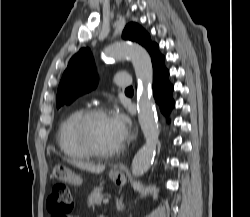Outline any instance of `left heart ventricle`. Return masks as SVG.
Returning <instances> with one entry per match:
<instances>
[{
	"mask_svg": "<svg viewBox=\"0 0 250 217\" xmlns=\"http://www.w3.org/2000/svg\"><path fill=\"white\" fill-rule=\"evenodd\" d=\"M90 133L94 143L101 149L110 150L121 145L109 115L95 118L90 125Z\"/></svg>",
	"mask_w": 250,
	"mask_h": 217,
	"instance_id": "left-heart-ventricle-1",
	"label": "left heart ventricle"
}]
</instances>
